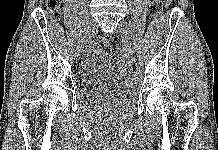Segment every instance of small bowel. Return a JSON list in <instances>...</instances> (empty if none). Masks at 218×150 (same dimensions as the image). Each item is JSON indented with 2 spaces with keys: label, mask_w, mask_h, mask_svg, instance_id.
Segmentation results:
<instances>
[{
  "label": "small bowel",
  "mask_w": 218,
  "mask_h": 150,
  "mask_svg": "<svg viewBox=\"0 0 218 150\" xmlns=\"http://www.w3.org/2000/svg\"><path fill=\"white\" fill-rule=\"evenodd\" d=\"M172 0H164L165 4L168 5Z\"/></svg>",
  "instance_id": "c3829d8e"
}]
</instances>
